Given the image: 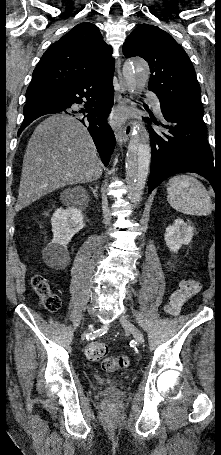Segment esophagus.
Listing matches in <instances>:
<instances>
[{
  "instance_id": "1",
  "label": "esophagus",
  "mask_w": 221,
  "mask_h": 455,
  "mask_svg": "<svg viewBox=\"0 0 221 455\" xmlns=\"http://www.w3.org/2000/svg\"><path fill=\"white\" fill-rule=\"evenodd\" d=\"M117 72L119 79V90L115 97V102L118 106L128 105L130 103V92L127 84L121 73V59L117 62ZM132 134V122L127 121L123 126H119L115 129V137L117 143L122 146L124 145Z\"/></svg>"
}]
</instances>
